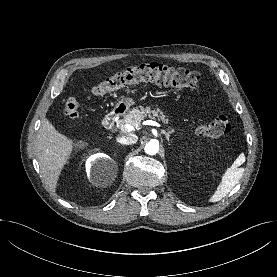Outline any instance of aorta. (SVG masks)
<instances>
[{"label":"aorta","mask_w":277,"mask_h":277,"mask_svg":"<svg viewBox=\"0 0 277 277\" xmlns=\"http://www.w3.org/2000/svg\"><path fill=\"white\" fill-rule=\"evenodd\" d=\"M159 151V144L155 140H151L145 146V152L149 155H155Z\"/></svg>","instance_id":"762f6f07"}]
</instances>
